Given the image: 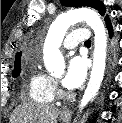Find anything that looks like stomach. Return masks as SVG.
<instances>
[{
  "label": "stomach",
  "mask_w": 122,
  "mask_h": 123,
  "mask_svg": "<svg viewBox=\"0 0 122 123\" xmlns=\"http://www.w3.org/2000/svg\"><path fill=\"white\" fill-rule=\"evenodd\" d=\"M61 121L63 123H66L68 121V118L67 117H64V116H61Z\"/></svg>",
  "instance_id": "1"
}]
</instances>
